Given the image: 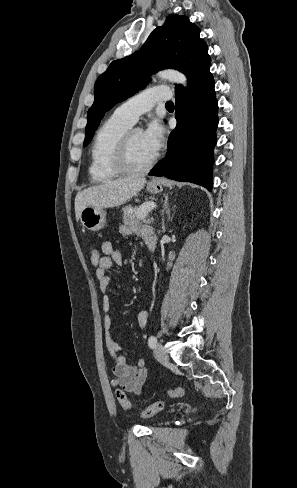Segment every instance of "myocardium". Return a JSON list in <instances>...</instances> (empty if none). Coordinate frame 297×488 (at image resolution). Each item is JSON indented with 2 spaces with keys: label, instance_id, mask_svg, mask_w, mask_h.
I'll list each match as a JSON object with an SVG mask.
<instances>
[{
  "label": "myocardium",
  "instance_id": "obj_1",
  "mask_svg": "<svg viewBox=\"0 0 297 488\" xmlns=\"http://www.w3.org/2000/svg\"><path fill=\"white\" fill-rule=\"evenodd\" d=\"M134 130H128L120 139L113 158V165L120 174H141L148 172L156 163L155 155L145 166L133 167L129 163V146Z\"/></svg>",
  "mask_w": 297,
  "mask_h": 488
}]
</instances>
